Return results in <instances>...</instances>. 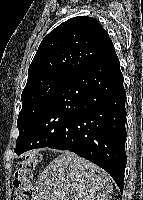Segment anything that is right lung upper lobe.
Wrapping results in <instances>:
<instances>
[{
	"instance_id": "cb5924a9",
	"label": "right lung upper lobe",
	"mask_w": 143,
	"mask_h": 200,
	"mask_svg": "<svg viewBox=\"0 0 143 200\" xmlns=\"http://www.w3.org/2000/svg\"><path fill=\"white\" fill-rule=\"evenodd\" d=\"M114 51L108 33L96 19L73 17L42 40L29 66L27 84L50 74L71 76Z\"/></svg>"
}]
</instances>
